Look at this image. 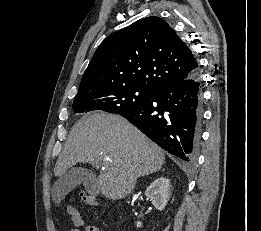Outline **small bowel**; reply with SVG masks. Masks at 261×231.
<instances>
[{"instance_id":"1","label":"small bowel","mask_w":261,"mask_h":231,"mask_svg":"<svg viewBox=\"0 0 261 231\" xmlns=\"http://www.w3.org/2000/svg\"><path fill=\"white\" fill-rule=\"evenodd\" d=\"M66 210L71 216L74 225V227L70 228L68 231H100L99 228L95 226H85L81 214L73 205L66 204Z\"/></svg>"}]
</instances>
